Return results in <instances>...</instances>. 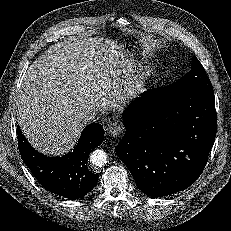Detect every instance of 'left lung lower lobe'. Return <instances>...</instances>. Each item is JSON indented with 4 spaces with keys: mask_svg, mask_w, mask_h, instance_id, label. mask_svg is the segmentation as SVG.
Instances as JSON below:
<instances>
[{
    "mask_svg": "<svg viewBox=\"0 0 231 231\" xmlns=\"http://www.w3.org/2000/svg\"><path fill=\"white\" fill-rule=\"evenodd\" d=\"M155 89L145 91L125 110L126 132L116 146L137 187L154 198L196 181L217 130L213 91L159 97Z\"/></svg>",
    "mask_w": 231,
    "mask_h": 231,
    "instance_id": "0a47b994",
    "label": "left lung lower lobe"
}]
</instances>
